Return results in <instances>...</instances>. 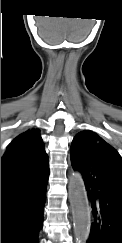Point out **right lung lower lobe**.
<instances>
[{
    "label": "right lung lower lobe",
    "instance_id": "98d812e1",
    "mask_svg": "<svg viewBox=\"0 0 122 243\" xmlns=\"http://www.w3.org/2000/svg\"><path fill=\"white\" fill-rule=\"evenodd\" d=\"M49 168L1 187V243H38Z\"/></svg>",
    "mask_w": 122,
    "mask_h": 243
}]
</instances>
